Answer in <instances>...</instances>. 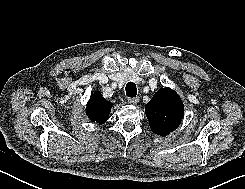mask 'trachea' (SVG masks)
<instances>
[{
	"instance_id": "obj_1",
	"label": "trachea",
	"mask_w": 245,
	"mask_h": 189,
	"mask_svg": "<svg viewBox=\"0 0 245 189\" xmlns=\"http://www.w3.org/2000/svg\"><path fill=\"white\" fill-rule=\"evenodd\" d=\"M126 95L130 98H134L137 95V88L136 85L133 82H129L126 85Z\"/></svg>"
}]
</instances>
